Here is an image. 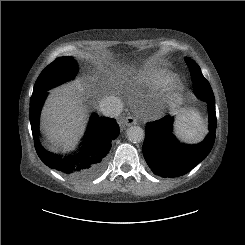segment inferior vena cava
Returning a JSON list of instances; mask_svg holds the SVG:
<instances>
[{
    "label": "inferior vena cava",
    "mask_w": 245,
    "mask_h": 245,
    "mask_svg": "<svg viewBox=\"0 0 245 245\" xmlns=\"http://www.w3.org/2000/svg\"><path fill=\"white\" fill-rule=\"evenodd\" d=\"M99 110L108 117H118L123 110V102L116 96H106L99 102Z\"/></svg>",
    "instance_id": "1"
}]
</instances>
